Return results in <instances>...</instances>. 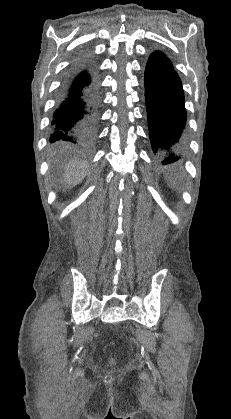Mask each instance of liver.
Segmentation results:
<instances>
[{"instance_id":"6515ba94","label":"liver","mask_w":231,"mask_h":419,"mask_svg":"<svg viewBox=\"0 0 231 419\" xmlns=\"http://www.w3.org/2000/svg\"><path fill=\"white\" fill-rule=\"evenodd\" d=\"M85 166L81 163L71 162L65 169L64 181L67 188L79 184L85 177Z\"/></svg>"}]
</instances>
